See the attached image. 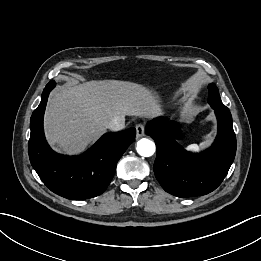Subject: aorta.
Instances as JSON below:
<instances>
[{
  "instance_id": "aorta-1",
  "label": "aorta",
  "mask_w": 261,
  "mask_h": 261,
  "mask_svg": "<svg viewBox=\"0 0 261 261\" xmlns=\"http://www.w3.org/2000/svg\"><path fill=\"white\" fill-rule=\"evenodd\" d=\"M155 149L154 142L149 139L142 138L137 142L136 150L141 156L150 157L154 154Z\"/></svg>"
}]
</instances>
